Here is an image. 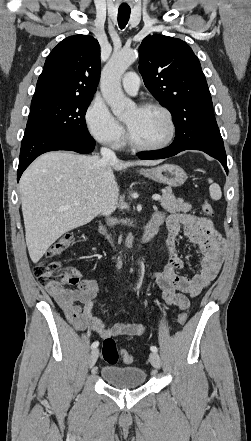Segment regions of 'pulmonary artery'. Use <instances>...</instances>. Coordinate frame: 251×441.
<instances>
[{
  "instance_id": "e3ab8cb5",
  "label": "pulmonary artery",
  "mask_w": 251,
  "mask_h": 441,
  "mask_svg": "<svg viewBox=\"0 0 251 441\" xmlns=\"http://www.w3.org/2000/svg\"><path fill=\"white\" fill-rule=\"evenodd\" d=\"M140 85L139 76L135 72H128L124 75L122 86L130 94H136Z\"/></svg>"
}]
</instances>
